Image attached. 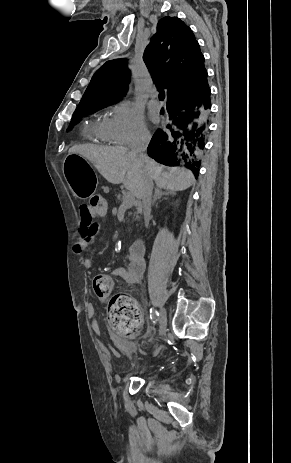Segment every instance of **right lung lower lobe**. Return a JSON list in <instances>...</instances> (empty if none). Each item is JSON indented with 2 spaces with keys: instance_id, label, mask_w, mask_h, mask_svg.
<instances>
[{
  "instance_id": "obj_1",
  "label": "right lung lower lobe",
  "mask_w": 291,
  "mask_h": 463,
  "mask_svg": "<svg viewBox=\"0 0 291 463\" xmlns=\"http://www.w3.org/2000/svg\"><path fill=\"white\" fill-rule=\"evenodd\" d=\"M210 94L206 73L196 94L167 100L172 123L153 135L148 146L150 157L168 166H185L198 177L208 132Z\"/></svg>"
}]
</instances>
